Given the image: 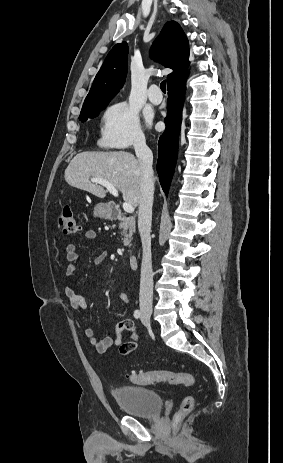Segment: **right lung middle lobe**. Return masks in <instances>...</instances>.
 Returning <instances> with one entry per match:
<instances>
[{
	"label": "right lung middle lobe",
	"mask_w": 283,
	"mask_h": 463,
	"mask_svg": "<svg viewBox=\"0 0 283 463\" xmlns=\"http://www.w3.org/2000/svg\"><path fill=\"white\" fill-rule=\"evenodd\" d=\"M110 100L111 99L106 100V101H102V102H99V103H96V104L83 106L82 110H81V113H80V116H79V119L82 122H85L88 118L97 117L99 115V112L101 110H103L107 106V104L110 102Z\"/></svg>",
	"instance_id": "obj_1"
}]
</instances>
